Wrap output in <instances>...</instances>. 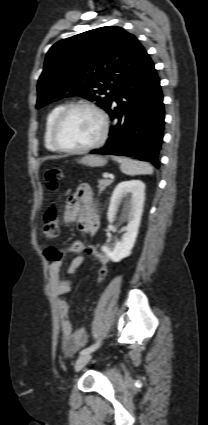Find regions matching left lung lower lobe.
<instances>
[{
    "label": "left lung lower lobe",
    "instance_id": "1",
    "mask_svg": "<svg viewBox=\"0 0 208 425\" xmlns=\"http://www.w3.org/2000/svg\"><path fill=\"white\" fill-rule=\"evenodd\" d=\"M106 111L112 121L117 120L110 126L106 145L91 153L135 157L158 168L165 113L160 80L148 54L136 72L117 88Z\"/></svg>",
    "mask_w": 208,
    "mask_h": 425
}]
</instances>
